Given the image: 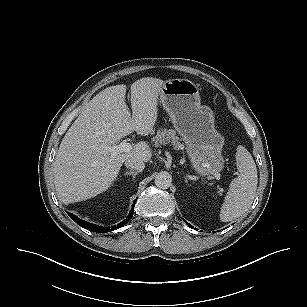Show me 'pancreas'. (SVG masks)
Listing matches in <instances>:
<instances>
[{"instance_id":"1","label":"pancreas","mask_w":307,"mask_h":307,"mask_svg":"<svg viewBox=\"0 0 307 307\" xmlns=\"http://www.w3.org/2000/svg\"><path fill=\"white\" fill-rule=\"evenodd\" d=\"M155 147L160 145H172L176 150H183L184 145L180 142L178 136H176V131L173 129L159 128L156 135L152 138Z\"/></svg>"}]
</instances>
